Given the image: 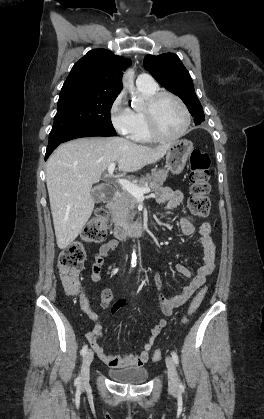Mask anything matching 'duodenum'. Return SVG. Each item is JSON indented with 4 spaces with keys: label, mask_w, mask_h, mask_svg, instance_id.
Returning a JSON list of instances; mask_svg holds the SVG:
<instances>
[{
    "label": "duodenum",
    "mask_w": 264,
    "mask_h": 419,
    "mask_svg": "<svg viewBox=\"0 0 264 419\" xmlns=\"http://www.w3.org/2000/svg\"><path fill=\"white\" fill-rule=\"evenodd\" d=\"M117 199H118V192L112 191L106 197V201H105L106 207L110 208ZM144 233H145V226L141 221H137L133 223H122V222L116 221L113 228V235L119 240L142 236Z\"/></svg>",
    "instance_id": "410a0bca"
}]
</instances>
